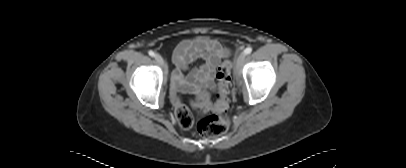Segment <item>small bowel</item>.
<instances>
[{
    "label": "small bowel",
    "mask_w": 406,
    "mask_h": 168,
    "mask_svg": "<svg viewBox=\"0 0 406 168\" xmlns=\"http://www.w3.org/2000/svg\"><path fill=\"white\" fill-rule=\"evenodd\" d=\"M229 52L218 42L205 37L188 40L180 43L173 52V61L176 69L173 73V100L180 103L176 93L189 85L193 91L199 92L202 87L215 90V72L220 61L228 56ZM196 59H203L204 63L184 76L188 65ZM207 100V97H204Z\"/></svg>",
    "instance_id": "obj_1"
}]
</instances>
